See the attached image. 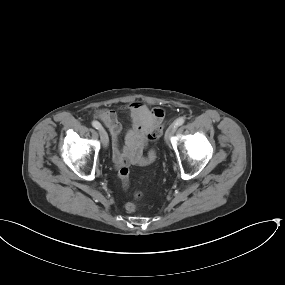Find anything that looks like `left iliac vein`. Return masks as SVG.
<instances>
[{
    "label": "left iliac vein",
    "instance_id": "obj_1",
    "mask_svg": "<svg viewBox=\"0 0 285 285\" xmlns=\"http://www.w3.org/2000/svg\"><path fill=\"white\" fill-rule=\"evenodd\" d=\"M177 126L173 123L169 126L165 133V141L166 143L169 142L170 138L173 136V134L176 132Z\"/></svg>",
    "mask_w": 285,
    "mask_h": 285
}]
</instances>
